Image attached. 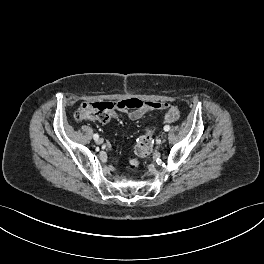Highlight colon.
I'll return each instance as SVG.
<instances>
[{"label":"colon","mask_w":264,"mask_h":264,"mask_svg":"<svg viewBox=\"0 0 264 264\" xmlns=\"http://www.w3.org/2000/svg\"><path fill=\"white\" fill-rule=\"evenodd\" d=\"M129 102L123 100L119 102H88L83 103L75 114L77 121L83 120H97L100 122H107L110 120L116 109L128 107ZM153 127H147L144 134L141 135L135 145V154L137 158L130 160L129 169L134 171L139 165L138 158H145L150 154L153 148Z\"/></svg>","instance_id":"1"}]
</instances>
